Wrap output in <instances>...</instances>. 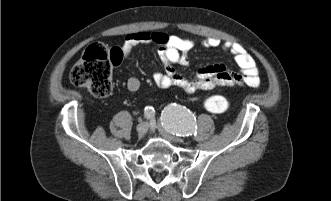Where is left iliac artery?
<instances>
[{"label":"left iliac artery","mask_w":331,"mask_h":201,"mask_svg":"<svg viewBox=\"0 0 331 201\" xmlns=\"http://www.w3.org/2000/svg\"><path fill=\"white\" fill-rule=\"evenodd\" d=\"M163 127L177 136L196 135V119L186 107L171 104L164 108L161 115Z\"/></svg>","instance_id":"obj_1"}]
</instances>
